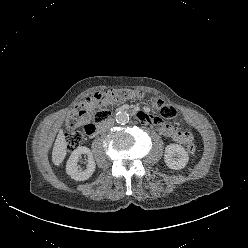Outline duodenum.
<instances>
[{
  "label": "duodenum",
  "mask_w": 248,
  "mask_h": 248,
  "mask_svg": "<svg viewBox=\"0 0 248 248\" xmlns=\"http://www.w3.org/2000/svg\"><path fill=\"white\" fill-rule=\"evenodd\" d=\"M121 110H129L128 108H121ZM137 117H139L140 119H142V117L144 116V114L142 112H136L135 113ZM100 127V126H99Z\"/></svg>",
  "instance_id": "1"
}]
</instances>
